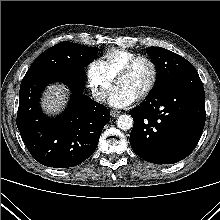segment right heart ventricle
Masks as SVG:
<instances>
[{"mask_svg":"<svg viewBox=\"0 0 220 220\" xmlns=\"http://www.w3.org/2000/svg\"><path fill=\"white\" fill-rule=\"evenodd\" d=\"M138 54L126 49H111L104 53L103 63L105 64L110 75L114 78L117 76L123 66Z\"/></svg>","mask_w":220,"mask_h":220,"instance_id":"obj_1","label":"right heart ventricle"}]
</instances>
